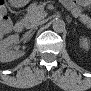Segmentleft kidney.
Wrapping results in <instances>:
<instances>
[{
    "label": "left kidney",
    "mask_w": 91,
    "mask_h": 91,
    "mask_svg": "<svg viewBox=\"0 0 91 91\" xmlns=\"http://www.w3.org/2000/svg\"><path fill=\"white\" fill-rule=\"evenodd\" d=\"M80 46H81L83 49L88 50V49L90 48L89 39H87V38H82V39H81Z\"/></svg>",
    "instance_id": "left-kidney-1"
}]
</instances>
